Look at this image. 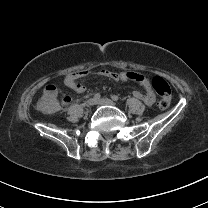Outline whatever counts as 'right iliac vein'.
Instances as JSON below:
<instances>
[{"instance_id": "1", "label": "right iliac vein", "mask_w": 208, "mask_h": 208, "mask_svg": "<svg viewBox=\"0 0 208 208\" xmlns=\"http://www.w3.org/2000/svg\"><path fill=\"white\" fill-rule=\"evenodd\" d=\"M96 104V100L94 98H90L87 100L88 106H94Z\"/></svg>"}]
</instances>
